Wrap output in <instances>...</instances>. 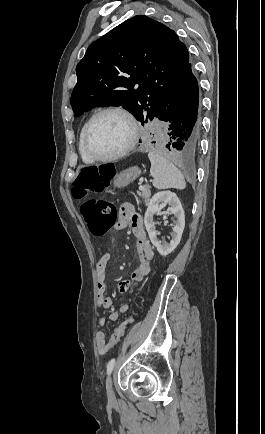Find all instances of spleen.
<instances>
[{
    "label": "spleen",
    "instance_id": "3e777b00",
    "mask_svg": "<svg viewBox=\"0 0 265 434\" xmlns=\"http://www.w3.org/2000/svg\"><path fill=\"white\" fill-rule=\"evenodd\" d=\"M148 158L151 162L150 174L153 176V186L157 190H166V188H177V190H184L186 182L180 170L163 158L156 152H149Z\"/></svg>",
    "mask_w": 265,
    "mask_h": 434
}]
</instances>
